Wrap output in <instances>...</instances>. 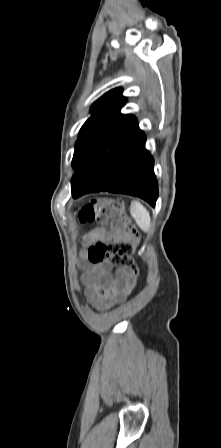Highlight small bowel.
<instances>
[{
  "mask_svg": "<svg viewBox=\"0 0 221 448\" xmlns=\"http://www.w3.org/2000/svg\"><path fill=\"white\" fill-rule=\"evenodd\" d=\"M128 239L125 232L111 223L108 232H101L99 240L121 242ZM83 282L87 286V296L98 310H104L124 301L136 284L134 276L125 268L110 263L85 266Z\"/></svg>",
  "mask_w": 221,
  "mask_h": 448,
  "instance_id": "1",
  "label": "small bowel"
}]
</instances>
